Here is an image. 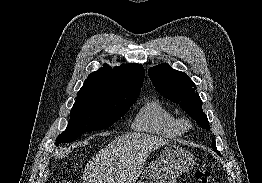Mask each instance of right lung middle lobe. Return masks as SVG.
<instances>
[{
	"label": "right lung middle lobe",
	"mask_w": 262,
	"mask_h": 183,
	"mask_svg": "<svg viewBox=\"0 0 262 183\" xmlns=\"http://www.w3.org/2000/svg\"><path fill=\"white\" fill-rule=\"evenodd\" d=\"M137 99L105 100L77 97L71 109L70 120L64 132L56 139V145L70 142L88 131L107 129L130 109Z\"/></svg>",
	"instance_id": "obj_1"
}]
</instances>
